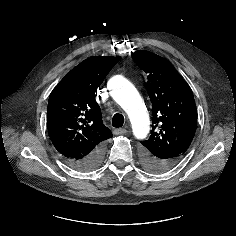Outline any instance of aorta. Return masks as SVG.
Instances as JSON below:
<instances>
[{
  "label": "aorta",
  "instance_id": "1",
  "mask_svg": "<svg viewBox=\"0 0 236 236\" xmlns=\"http://www.w3.org/2000/svg\"><path fill=\"white\" fill-rule=\"evenodd\" d=\"M108 89L113 99L127 113L133 134L137 139H144L149 132V115L139 92L134 85L120 75L112 77Z\"/></svg>",
  "mask_w": 236,
  "mask_h": 236
}]
</instances>
